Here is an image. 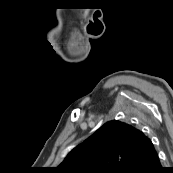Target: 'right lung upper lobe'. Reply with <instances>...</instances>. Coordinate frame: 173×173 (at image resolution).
Instances as JSON below:
<instances>
[{"mask_svg":"<svg viewBox=\"0 0 173 173\" xmlns=\"http://www.w3.org/2000/svg\"><path fill=\"white\" fill-rule=\"evenodd\" d=\"M155 151L151 140L129 124L107 122L76 146L54 173H123L135 160Z\"/></svg>","mask_w":173,"mask_h":173,"instance_id":"right-lung-upper-lobe-1","label":"right lung upper lobe"}]
</instances>
